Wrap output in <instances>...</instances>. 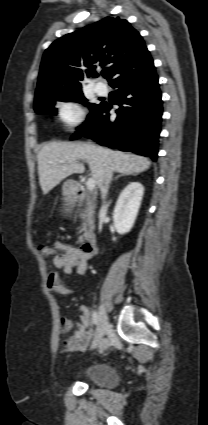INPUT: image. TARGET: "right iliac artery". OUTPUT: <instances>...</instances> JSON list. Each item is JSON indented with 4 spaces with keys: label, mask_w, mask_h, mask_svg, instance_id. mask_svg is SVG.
Masks as SVG:
<instances>
[{
    "label": "right iliac artery",
    "mask_w": 208,
    "mask_h": 425,
    "mask_svg": "<svg viewBox=\"0 0 208 425\" xmlns=\"http://www.w3.org/2000/svg\"><path fill=\"white\" fill-rule=\"evenodd\" d=\"M92 323L94 325H97L98 324V314H97L96 311H93V313H92Z\"/></svg>",
    "instance_id": "1"
}]
</instances>
